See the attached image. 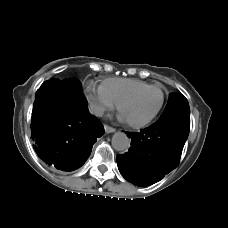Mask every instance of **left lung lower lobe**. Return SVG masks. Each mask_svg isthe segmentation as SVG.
Returning <instances> with one entry per match:
<instances>
[{
	"label": "left lung lower lobe",
	"mask_w": 228,
	"mask_h": 228,
	"mask_svg": "<svg viewBox=\"0 0 228 228\" xmlns=\"http://www.w3.org/2000/svg\"><path fill=\"white\" fill-rule=\"evenodd\" d=\"M190 130V119L180 123L157 120L140 132H127L131 148L117 155L122 176L129 182L146 186L160 181L176 168Z\"/></svg>",
	"instance_id": "obj_1"
}]
</instances>
